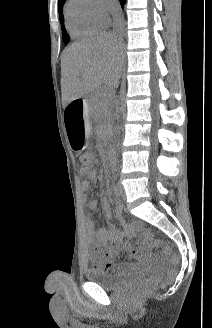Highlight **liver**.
<instances>
[{"label": "liver", "mask_w": 212, "mask_h": 328, "mask_svg": "<svg viewBox=\"0 0 212 328\" xmlns=\"http://www.w3.org/2000/svg\"><path fill=\"white\" fill-rule=\"evenodd\" d=\"M121 41L102 32L66 48L61 60L62 100L72 102L95 90H113L118 85Z\"/></svg>", "instance_id": "obj_1"}]
</instances>
